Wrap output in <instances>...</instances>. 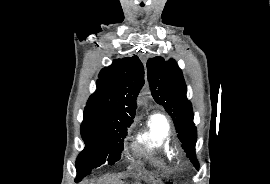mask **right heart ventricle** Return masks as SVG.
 <instances>
[{
    "instance_id": "right-heart-ventricle-1",
    "label": "right heart ventricle",
    "mask_w": 270,
    "mask_h": 184,
    "mask_svg": "<svg viewBox=\"0 0 270 184\" xmlns=\"http://www.w3.org/2000/svg\"><path fill=\"white\" fill-rule=\"evenodd\" d=\"M134 147L148 154L159 153L166 160L172 161L175 157V146L168 118L158 112L151 114L136 134Z\"/></svg>"
}]
</instances>
